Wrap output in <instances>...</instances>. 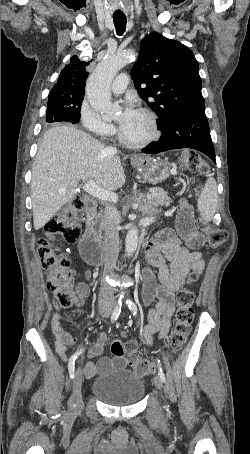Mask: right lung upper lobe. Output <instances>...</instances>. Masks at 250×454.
<instances>
[{"label": "right lung upper lobe", "instance_id": "obj_1", "mask_svg": "<svg viewBox=\"0 0 250 454\" xmlns=\"http://www.w3.org/2000/svg\"><path fill=\"white\" fill-rule=\"evenodd\" d=\"M88 65L89 62L80 60L77 55L72 56L70 63L61 71L57 83L49 93V97L57 96L72 100L84 97Z\"/></svg>", "mask_w": 250, "mask_h": 454}]
</instances>
